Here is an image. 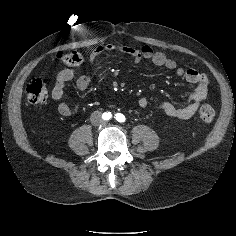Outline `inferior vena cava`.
Returning <instances> with one entry per match:
<instances>
[{
  "label": "inferior vena cava",
  "instance_id": "1",
  "mask_svg": "<svg viewBox=\"0 0 236 236\" xmlns=\"http://www.w3.org/2000/svg\"><path fill=\"white\" fill-rule=\"evenodd\" d=\"M90 121L94 125H98L103 122L101 118V112L99 111H94L91 116H90Z\"/></svg>",
  "mask_w": 236,
  "mask_h": 236
}]
</instances>
